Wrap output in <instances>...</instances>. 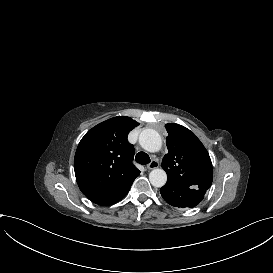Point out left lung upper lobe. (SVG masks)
<instances>
[{"instance_id":"5c2ea615","label":"left lung upper lobe","mask_w":273,"mask_h":273,"mask_svg":"<svg viewBox=\"0 0 273 273\" xmlns=\"http://www.w3.org/2000/svg\"><path fill=\"white\" fill-rule=\"evenodd\" d=\"M165 127L168 154L161 165L167 182L208 190L212 184V163L206 148L189 129L174 123Z\"/></svg>"}]
</instances>
